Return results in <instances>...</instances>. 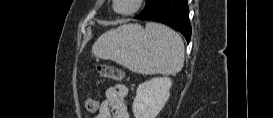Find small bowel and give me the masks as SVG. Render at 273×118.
<instances>
[{"label": "small bowel", "mask_w": 273, "mask_h": 118, "mask_svg": "<svg viewBox=\"0 0 273 118\" xmlns=\"http://www.w3.org/2000/svg\"><path fill=\"white\" fill-rule=\"evenodd\" d=\"M128 93L123 84L107 88L102 102L98 104L95 100L99 108L98 118H128Z\"/></svg>", "instance_id": "1"}]
</instances>
